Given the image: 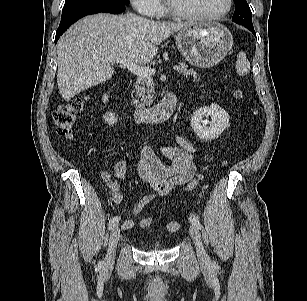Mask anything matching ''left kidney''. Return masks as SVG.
Instances as JSON below:
<instances>
[{
	"instance_id": "left-kidney-1",
	"label": "left kidney",
	"mask_w": 307,
	"mask_h": 301,
	"mask_svg": "<svg viewBox=\"0 0 307 301\" xmlns=\"http://www.w3.org/2000/svg\"><path fill=\"white\" fill-rule=\"evenodd\" d=\"M204 117H211V122ZM228 113L217 104H211L195 111L191 118V126L194 132L203 140H213L229 126ZM209 124V126H207Z\"/></svg>"
}]
</instances>
